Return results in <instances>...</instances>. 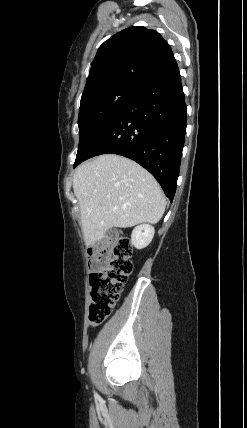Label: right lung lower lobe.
I'll return each mask as SVG.
<instances>
[{
    "mask_svg": "<svg viewBox=\"0 0 247 428\" xmlns=\"http://www.w3.org/2000/svg\"><path fill=\"white\" fill-rule=\"evenodd\" d=\"M186 104L177 64L143 88L75 160L113 153L136 161L172 202L186 132Z\"/></svg>",
    "mask_w": 247,
    "mask_h": 428,
    "instance_id": "right-lung-lower-lobe-1",
    "label": "right lung lower lobe"
}]
</instances>
